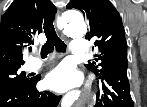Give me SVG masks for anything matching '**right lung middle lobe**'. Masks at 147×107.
I'll return each instance as SVG.
<instances>
[{
	"label": "right lung middle lobe",
	"instance_id": "obj_1",
	"mask_svg": "<svg viewBox=\"0 0 147 107\" xmlns=\"http://www.w3.org/2000/svg\"><path fill=\"white\" fill-rule=\"evenodd\" d=\"M20 68L21 65H14L0 69V92L25 85L31 80L24 71H20Z\"/></svg>",
	"mask_w": 147,
	"mask_h": 107
}]
</instances>
